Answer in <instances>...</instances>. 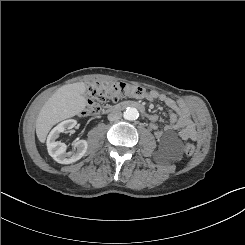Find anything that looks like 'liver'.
Returning <instances> with one entry per match:
<instances>
[{"mask_svg": "<svg viewBox=\"0 0 245 245\" xmlns=\"http://www.w3.org/2000/svg\"><path fill=\"white\" fill-rule=\"evenodd\" d=\"M85 92L86 86L83 82L64 85L45 102L36 120V134L41 143L45 142L55 124L85 109Z\"/></svg>", "mask_w": 245, "mask_h": 245, "instance_id": "obj_1", "label": "liver"}]
</instances>
